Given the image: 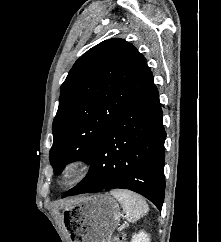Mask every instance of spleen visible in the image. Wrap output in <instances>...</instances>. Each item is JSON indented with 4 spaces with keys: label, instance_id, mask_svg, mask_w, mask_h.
I'll use <instances>...</instances> for the list:
<instances>
[{
    "label": "spleen",
    "instance_id": "3e777b00",
    "mask_svg": "<svg viewBox=\"0 0 221 242\" xmlns=\"http://www.w3.org/2000/svg\"><path fill=\"white\" fill-rule=\"evenodd\" d=\"M110 193L120 202L130 223H135L149 211L145 199L132 191L115 189L111 190Z\"/></svg>",
    "mask_w": 221,
    "mask_h": 242
}]
</instances>
